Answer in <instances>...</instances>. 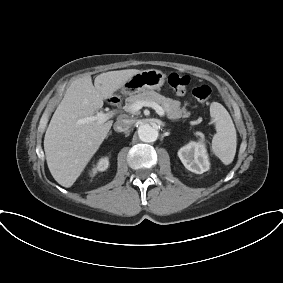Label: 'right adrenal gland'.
Wrapping results in <instances>:
<instances>
[{
    "mask_svg": "<svg viewBox=\"0 0 283 283\" xmlns=\"http://www.w3.org/2000/svg\"><path fill=\"white\" fill-rule=\"evenodd\" d=\"M111 134H112V132L110 131L109 134L107 135V138H108V136L111 135Z\"/></svg>",
    "mask_w": 283,
    "mask_h": 283,
    "instance_id": "right-adrenal-gland-1",
    "label": "right adrenal gland"
}]
</instances>
